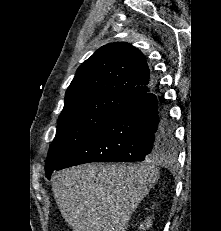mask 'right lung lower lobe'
I'll return each instance as SVG.
<instances>
[{
	"label": "right lung lower lobe",
	"mask_w": 221,
	"mask_h": 231,
	"mask_svg": "<svg viewBox=\"0 0 221 231\" xmlns=\"http://www.w3.org/2000/svg\"><path fill=\"white\" fill-rule=\"evenodd\" d=\"M155 88L116 111L71 156L54 170L89 162L151 160L171 148L173 128L163 96ZM53 170V171H54ZM46 173L48 179L51 173Z\"/></svg>",
	"instance_id": "1"
}]
</instances>
